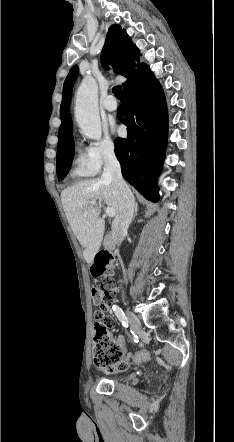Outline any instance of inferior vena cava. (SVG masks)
Listing matches in <instances>:
<instances>
[{"instance_id": "602c4592", "label": "inferior vena cava", "mask_w": 234, "mask_h": 442, "mask_svg": "<svg viewBox=\"0 0 234 442\" xmlns=\"http://www.w3.org/2000/svg\"><path fill=\"white\" fill-rule=\"evenodd\" d=\"M102 178L112 181L119 195V210L112 224V239L120 245L133 218L135 198L122 177L120 163L112 148L106 151Z\"/></svg>"}]
</instances>
